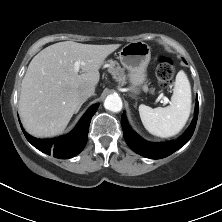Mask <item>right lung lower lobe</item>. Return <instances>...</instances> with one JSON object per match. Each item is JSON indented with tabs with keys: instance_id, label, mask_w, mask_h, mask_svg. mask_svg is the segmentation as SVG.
I'll use <instances>...</instances> for the list:
<instances>
[{
	"instance_id": "right-lung-lower-lobe-1",
	"label": "right lung lower lobe",
	"mask_w": 222,
	"mask_h": 222,
	"mask_svg": "<svg viewBox=\"0 0 222 222\" xmlns=\"http://www.w3.org/2000/svg\"><path fill=\"white\" fill-rule=\"evenodd\" d=\"M98 104L92 106L81 118L78 125L66 136L58 137L55 139H36L27 134L23 128L22 131L27 140L38 150L60 159H68L79 154L88 138V130L91 118L95 114Z\"/></svg>"
}]
</instances>
